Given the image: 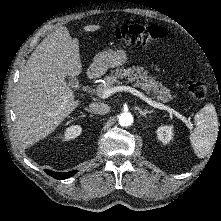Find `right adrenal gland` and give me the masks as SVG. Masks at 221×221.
Segmentation results:
<instances>
[{
  "label": "right adrenal gland",
  "mask_w": 221,
  "mask_h": 221,
  "mask_svg": "<svg viewBox=\"0 0 221 221\" xmlns=\"http://www.w3.org/2000/svg\"><path fill=\"white\" fill-rule=\"evenodd\" d=\"M85 110L92 114V112H91V110L89 108H85Z\"/></svg>",
  "instance_id": "1"
}]
</instances>
